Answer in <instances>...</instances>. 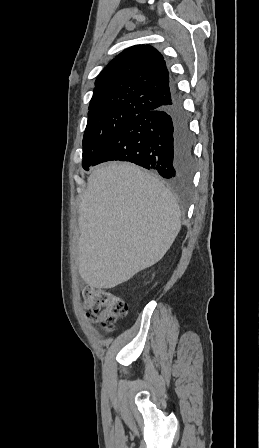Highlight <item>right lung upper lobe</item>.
<instances>
[{
    "mask_svg": "<svg viewBox=\"0 0 259 448\" xmlns=\"http://www.w3.org/2000/svg\"><path fill=\"white\" fill-rule=\"evenodd\" d=\"M89 113L147 112L171 102V79L161 53L150 45L121 52L100 73Z\"/></svg>",
    "mask_w": 259,
    "mask_h": 448,
    "instance_id": "obj_1",
    "label": "right lung upper lobe"
}]
</instances>
